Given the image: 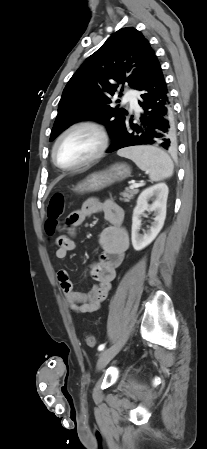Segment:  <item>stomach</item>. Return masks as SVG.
Segmentation results:
<instances>
[{"label":"stomach","instance_id":"1","mask_svg":"<svg viewBox=\"0 0 207 449\" xmlns=\"http://www.w3.org/2000/svg\"><path fill=\"white\" fill-rule=\"evenodd\" d=\"M130 174L131 170L128 165L117 163L106 170L91 173L79 182L73 191L79 194L97 192L116 182L123 181Z\"/></svg>","mask_w":207,"mask_h":449}]
</instances>
